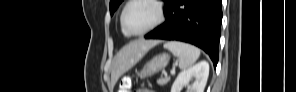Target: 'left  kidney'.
<instances>
[{"mask_svg":"<svg viewBox=\"0 0 296 92\" xmlns=\"http://www.w3.org/2000/svg\"><path fill=\"white\" fill-rule=\"evenodd\" d=\"M209 76V64L201 61L196 65L180 72L174 81L171 92H181L184 86H188V92H203ZM194 82L190 85V81Z\"/></svg>","mask_w":296,"mask_h":92,"instance_id":"obj_1","label":"left kidney"}]
</instances>
